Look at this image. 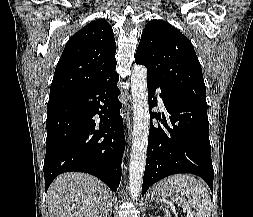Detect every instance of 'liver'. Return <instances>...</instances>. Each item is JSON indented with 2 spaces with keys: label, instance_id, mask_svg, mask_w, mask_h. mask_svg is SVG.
<instances>
[{
  "label": "liver",
  "instance_id": "1",
  "mask_svg": "<svg viewBox=\"0 0 253 217\" xmlns=\"http://www.w3.org/2000/svg\"><path fill=\"white\" fill-rule=\"evenodd\" d=\"M109 188L98 178L80 172L63 173L47 192L50 217H107Z\"/></svg>",
  "mask_w": 253,
  "mask_h": 217
}]
</instances>
